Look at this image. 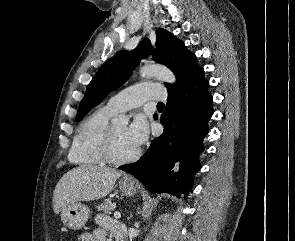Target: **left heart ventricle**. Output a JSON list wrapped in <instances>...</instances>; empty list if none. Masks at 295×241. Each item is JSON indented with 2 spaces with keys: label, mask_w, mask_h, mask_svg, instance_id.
I'll list each match as a JSON object with an SVG mask.
<instances>
[{
  "label": "left heart ventricle",
  "mask_w": 295,
  "mask_h": 241,
  "mask_svg": "<svg viewBox=\"0 0 295 241\" xmlns=\"http://www.w3.org/2000/svg\"><path fill=\"white\" fill-rule=\"evenodd\" d=\"M114 128V153L118 157L130 156L137 151L127 138V126L125 124L113 125Z\"/></svg>",
  "instance_id": "obj_1"
}]
</instances>
